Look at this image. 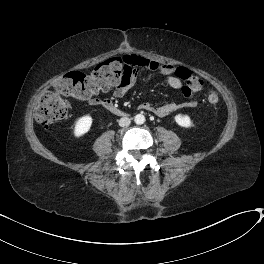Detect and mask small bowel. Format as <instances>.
<instances>
[{
    "instance_id": "1",
    "label": "small bowel",
    "mask_w": 264,
    "mask_h": 264,
    "mask_svg": "<svg viewBox=\"0 0 264 264\" xmlns=\"http://www.w3.org/2000/svg\"><path fill=\"white\" fill-rule=\"evenodd\" d=\"M131 62L123 72L119 83L116 85L114 90V96L116 98H121L125 96L137 83L138 72L140 70H148L152 72H160L165 76L167 84L172 89H180L183 85L182 78L177 75V71L183 70L182 67H174L167 64L159 63L158 61L151 60L144 57H139L135 55H130ZM86 100L91 105H98L100 100L87 97ZM197 105V100L194 98L188 99L185 103L186 107L193 108ZM176 104L166 103L162 105H153L150 102H143L139 105V109L152 112L159 117H166L171 115L176 111Z\"/></svg>"
}]
</instances>
